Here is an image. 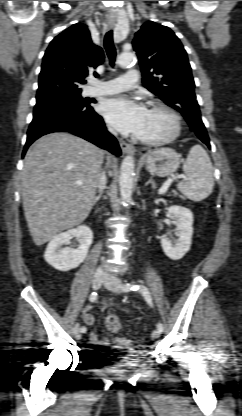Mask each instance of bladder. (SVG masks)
Segmentation results:
<instances>
[{
  "label": "bladder",
  "mask_w": 242,
  "mask_h": 416,
  "mask_svg": "<svg viewBox=\"0 0 242 416\" xmlns=\"http://www.w3.org/2000/svg\"><path fill=\"white\" fill-rule=\"evenodd\" d=\"M127 366H125V367H122L121 365H114L113 366V368L114 369H121V368H126Z\"/></svg>",
  "instance_id": "obj_1"
}]
</instances>
